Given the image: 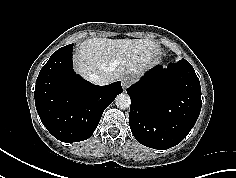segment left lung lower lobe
I'll return each mask as SVG.
<instances>
[{
	"label": "left lung lower lobe",
	"instance_id": "0a47b994",
	"mask_svg": "<svg viewBox=\"0 0 236 178\" xmlns=\"http://www.w3.org/2000/svg\"><path fill=\"white\" fill-rule=\"evenodd\" d=\"M127 92L132 134L154 149L180 143L195 125L202 106L200 82L188 61L156 66Z\"/></svg>",
	"mask_w": 236,
	"mask_h": 178
}]
</instances>
